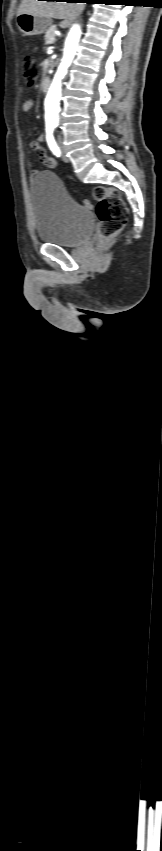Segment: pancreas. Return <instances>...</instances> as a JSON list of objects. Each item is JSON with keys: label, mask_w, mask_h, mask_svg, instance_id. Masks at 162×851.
<instances>
[{"label": "pancreas", "mask_w": 162, "mask_h": 851, "mask_svg": "<svg viewBox=\"0 0 162 851\" xmlns=\"http://www.w3.org/2000/svg\"><path fill=\"white\" fill-rule=\"evenodd\" d=\"M55 30L56 26H51L45 33V42L46 44H52L55 38Z\"/></svg>", "instance_id": "obj_1"}]
</instances>
